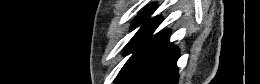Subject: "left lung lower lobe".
<instances>
[{
  "instance_id": "obj_1",
  "label": "left lung lower lobe",
  "mask_w": 260,
  "mask_h": 84,
  "mask_svg": "<svg viewBox=\"0 0 260 84\" xmlns=\"http://www.w3.org/2000/svg\"><path fill=\"white\" fill-rule=\"evenodd\" d=\"M145 23L126 47V54L133 55L125 63L116 84H177L176 62L178 49L169 43L168 30L151 36L160 19L153 18Z\"/></svg>"
}]
</instances>
